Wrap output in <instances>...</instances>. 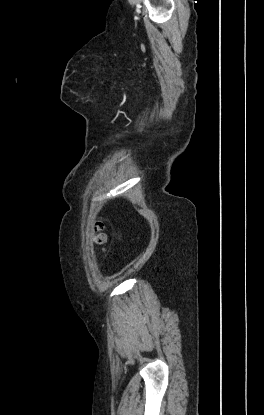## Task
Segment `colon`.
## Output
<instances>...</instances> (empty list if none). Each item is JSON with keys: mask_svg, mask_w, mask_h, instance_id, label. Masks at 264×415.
Instances as JSON below:
<instances>
[{"mask_svg": "<svg viewBox=\"0 0 264 415\" xmlns=\"http://www.w3.org/2000/svg\"><path fill=\"white\" fill-rule=\"evenodd\" d=\"M103 229V222L97 221L96 225L94 226V232H95V243L97 245H103L106 241V236L102 231Z\"/></svg>", "mask_w": 264, "mask_h": 415, "instance_id": "colon-1", "label": "colon"}]
</instances>
